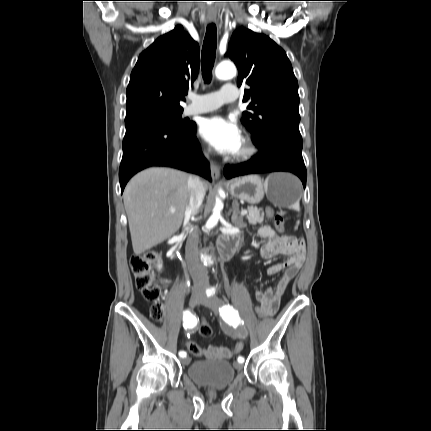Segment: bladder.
<instances>
[{
  "mask_svg": "<svg viewBox=\"0 0 431 431\" xmlns=\"http://www.w3.org/2000/svg\"><path fill=\"white\" fill-rule=\"evenodd\" d=\"M187 375L195 384L208 389L230 386L236 379V369L227 360H198L189 365Z\"/></svg>",
  "mask_w": 431,
  "mask_h": 431,
  "instance_id": "bladder-1",
  "label": "bladder"
}]
</instances>
